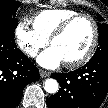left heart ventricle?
<instances>
[{
	"label": "left heart ventricle",
	"instance_id": "obj_1",
	"mask_svg": "<svg viewBox=\"0 0 108 108\" xmlns=\"http://www.w3.org/2000/svg\"><path fill=\"white\" fill-rule=\"evenodd\" d=\"M93 36V29L89 21L80 19L75 21L67 31L58 37L52 46L59 52L63 62L75 60L88 49Z\"/></svg>",
	"mask_w": 108,
	"mask_h": 108
}]
</instances>
